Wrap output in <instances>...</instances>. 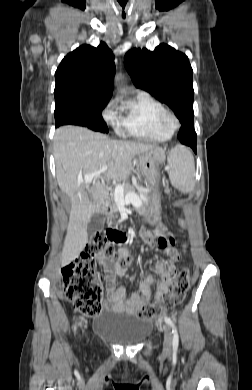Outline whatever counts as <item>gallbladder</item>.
<instances>
[{
    "mask_svg": "<svg viewBox=\"0 0 252 390\" xmlns=\"http://www.w3.org/2000/svg\"><path fill=\"white\" fill-rule=\"evenodd\" d=\"M104 227V219L100 216H93L87 225V233L91 238L96 232L101 231Z\"/></svg>",
    "mask_w": 252,
    "mask_h": 390,
    "instance_id": "gallbladder-1",
    "label": "gallbladder"
}]
</instances>
